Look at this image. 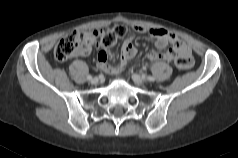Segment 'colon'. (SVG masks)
Returning a JSON list of instances; mask_svg holds the SVG:
<instances>
[{
    "label": "colon",
    "mask_w": 238,
    "mask_h": 158,
    "mask_svg": "<svg viewBox=\"0 0 238 158\" xmlns=\"http://www.w3.org/2000/svg\"><path fill=\"white\" fill-rule=\"evenodd\" d=\"M126 34L123 26L104 28L92 32L95 45L98 48H108L112 46L116 40ZM86 38L79 31H73L65 35L59 40L54 48V58L57 61H66L72 57L86 53ZM175 64L180 70H188L192 67L193 60L187 57H177Z\"/></svg>",
    "instance_id": "colon-1"
}]
</instances>
